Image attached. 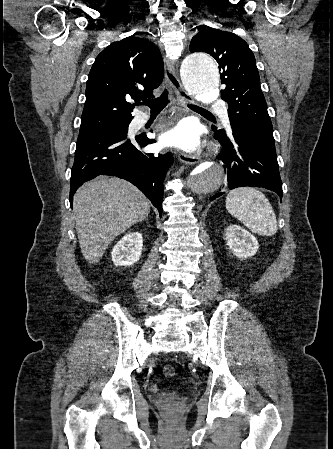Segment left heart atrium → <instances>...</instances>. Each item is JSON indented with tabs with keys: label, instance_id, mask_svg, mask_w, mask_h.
Here are the masks:
<instances>
[{
	"label": "left heart atrium",
	"instance_id": "obj_1",
	"mask_svg": "<svg viewBox=\"0 0 333 449\" xmlns=\"http://www.w3.org/2000/svg\"><path fill=\"white\" fill-rule=\"evenodd\" d=\"M162 142L185 151H193L199 144V138L197 130L192 124L182 122L165 133L162 136Z\"/></svg>",
	"mask_w": 333,
	"mask_h": 449
}]
</instances>
